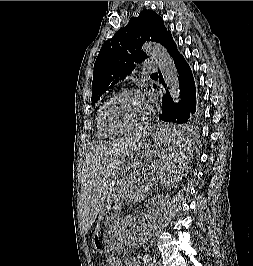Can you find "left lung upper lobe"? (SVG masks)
Instances as JSON below:
<instances>
[{"instance_id":"left-lung-upper-lobe-1","label":"left lung upper lobe","mask_w":253,"mask_h":266,"mask_svg":"<svg viewBox=\"0 0 253 266\" xmlns=\"http://www.w3.org/2000/svg\"><path fill=\"white\" fill-rule=\"evenodd\" d=\"M171 35L163 19L152 10H143L138 17H132L126 27L105 42L94 63L92 98L94 105L110 89L117 79L130 75L137 63L147 57L141 50L146 41H155L164 46Z\"/></svg>"}]
</instances>
